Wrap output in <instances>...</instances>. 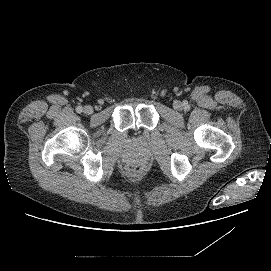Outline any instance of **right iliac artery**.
Segmentation results:
<instances>
[{
    "mask_svg": "<svg viewBox=\"0 0 271 271\" xmlns=\"http://www.w3.org/2000/svg\"><path fill=\"white\" fill-rule=\"evenodd\" d=\"M76 111H77L78 113H81V112L83 111V108H82L81 106H78V107L76 108Z\"/></svg>",
    "mask_w": 271,
    "mask_h": 271,
    "instance_id": "82829eb1",
    "label": "right iliac artery"
}]
</instances>
